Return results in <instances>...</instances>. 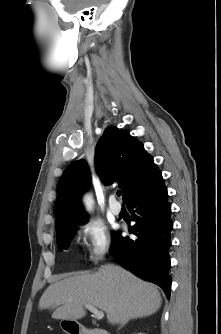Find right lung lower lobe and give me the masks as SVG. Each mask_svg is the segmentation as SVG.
Segmentation results:
<instances>
[{"mask_svg":"<svg viewBox=\"0 0 221 334\" xmlns=\"http://www.w3.org/2000/svg\"><path fill=\"white\" fill-rule=\"evenodd\" d=\"M161 173L126 203L136 224L129 232L136 239L112 237L111 255L124 268L140 278L159 285L170 297L171 277L169 248L171 246V205Z\"/></svg>","mask_w":221,"mask_h":334,"instance_id":"right-lung-lower-lobe-1","label":"right lung lower lobe"}]
</instances>
